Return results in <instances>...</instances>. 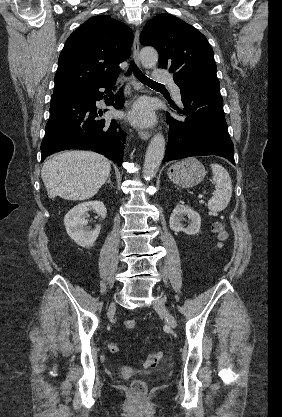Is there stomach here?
<instances>
[{"mask_svg":"<svg viewBox=\"0 0 282 417\" xmlns=\"http://www.w3.org/2000/svg\"><path fill=\"white\" fill-rule=\"evenodd\" d=\"M167 174L178 186L190 188V186H195L203 180L206 170L200 160H197L194 156H189V158L171 164Z\"/></svg>","mask_w":282,"mask_h":417,"instance_id":"0dacf381","label":"stomach"}]
</instances>
